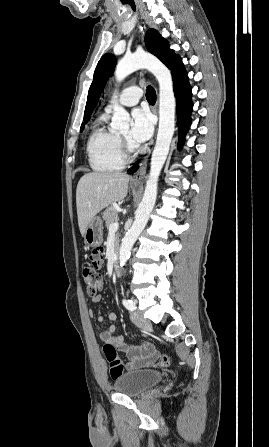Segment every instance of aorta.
<instances>
[{"mask_svg":"<svg viewBox=\"0 0 269 447\" xmlns=\"http://www.w3.org/2000/svg\"><path fill=\"white\" fill-rule=\"evenodd\" d=\"M149 70L154 74L159 84V126L155 148L152 152L151 170L147 180L143 200L136 212L135 220L129 231L125 233L120 251V265H124L128 255L134 245L138 235L149 220V216L155 206L157 198V186L160 172L169 154L172 138L175 132V96L173 92V82L170 70L152 56V54H131L119 60L115 78L117 82H123L127 76L136 70ZM118 96H112L110 104H113V118H111V130H129L132 122L128 112L117 104Z\"/></svg>","mask_w":269,"mask_h":447,"instance_id":"1","label":"aorta"}]
</instances>
